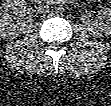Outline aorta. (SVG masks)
Here are the masks:
<instances>
[{
  "label": "aorta",
  "mask_w": 111,
  "mask_h": 106,
  "mask_svg": "<svg viewBox=\"0 0 111 106\" xmlns=\"http://www.w3.org/2000/svg\"><path fill=\"white\" fill-rule=\"evenodd\" d=\"M56 13L57 14H63L64 13V8L63 7H57L56 8Z\"/></svg>",
  "instance_id": "762f6f07"
}]
</instances>
